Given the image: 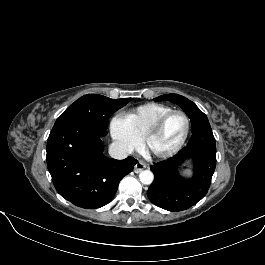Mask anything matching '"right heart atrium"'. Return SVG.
<instances>
[{
	"label": "right heart atrium",
	"mask_w": 265,
	"mask_h": 265,
	"mask_svg": "<svg viewBox=\"0 0 265 265\" xmlns=\"http://www.w3.org/2000/svg\"><path fill=\"white\" fill-rule=\"evenodd\" d=\"M110 133L117 146L125 152H132L139 145L140 139L132 133L120 116L111 118Z\"/></svg>",
	"instance_id": "1"
}]
</instances>
